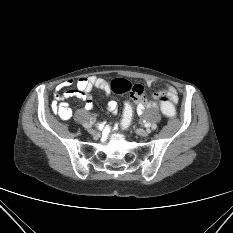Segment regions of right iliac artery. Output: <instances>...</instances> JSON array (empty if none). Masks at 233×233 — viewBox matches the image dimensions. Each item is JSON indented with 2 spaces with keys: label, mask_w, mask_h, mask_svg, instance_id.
I'll return each instance as SVG.
<instances>
[{
  "label": "right iliac artery",
  "mask_w": 233,
  "mask_h": 233,
  "mask_svg": "<svg viewBox=\"0 0 233 233\" xmlns=\"http://www.w3.org/2000/svg\"><path fill=\"white\" fill-rule=\"evenodd\" d=\"M83 126H84L85 128H90L92 125H91V124L85 123Z\"/></svg>",
  "instance_id": "82829eb1"
}]
</instances>
